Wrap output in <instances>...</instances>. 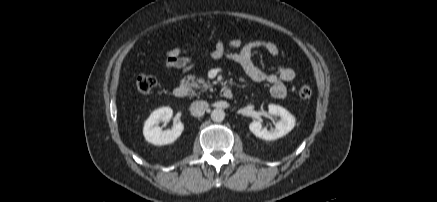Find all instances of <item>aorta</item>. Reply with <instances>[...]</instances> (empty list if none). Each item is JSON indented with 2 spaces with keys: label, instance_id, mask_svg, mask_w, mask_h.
<instances>
[{
  "label": "aorta",
  "instance_id": "obj_1",
  "mask_svg": "<svg viewBox=\"0 0 437 202\" xmlns=\"http://www.w3.org/2000/svg\"><path fill=\"white\" fill-rule=\"evenodd\" d=\"M225 118V112L222 109H214L211 112V119L214 122H222Z\"/></svg>",
  "mask_w": 437,
  "mask_h": 202
}]
</instances>
